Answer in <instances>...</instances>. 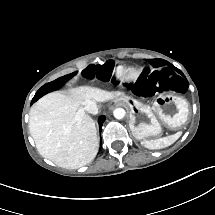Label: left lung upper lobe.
<instances>
[{"instance_id": "5c2ea615", "label": "left lung upper lobe", "mask_w": 215, "mask_h": 215, "mask_svg": "<svg viewBox=\"0 0 215 215\" xmlns=\"http://www.w3.org/2000/svg\"><path fill=\"white\" fill-rule=\"evenodd\" d=\"M149 62L154 66V67H160L164 66L167 64L165 60L162 59H150Z\"/></svg>"}]
</instances>
